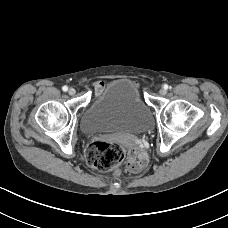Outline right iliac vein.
Segmentation results:
<instances>
[{
	"instance_id": "1",
	"label": "right iliac vein",
	"mask_w": 228,
	"mask_h": 228,
	"mask_svg": "<svg viewBox=\"0 0 228 228\" xmlns=\"http://www.w3.org/2000/svg\"><path fill=\"white\" fill-rule=\"evenodd\" d=\"M68 93H69V95H74V94L76 93V91H75L74 88H70V89L68 90Z\"/></svg>"
}]
</instances>
